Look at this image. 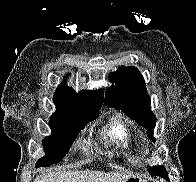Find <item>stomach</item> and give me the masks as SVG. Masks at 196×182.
I'll list each match as a JSON object with an SVG mask.
<instances>
[{
	"instance_id": "stomach-1",
	"label": "stomach",
	"mask_w": 196,
	"mask_h": 182,
	"mask_svg": "<svg viewBox=\"0 0 196 182\" xmlns=\"http://www.w3.org/2000/svg\"><path fill=\"white\" fill-rule=\"evenodd\" d=\"M125 182H147L141 176H131Z\"/></svg>"
}]
</instances>
